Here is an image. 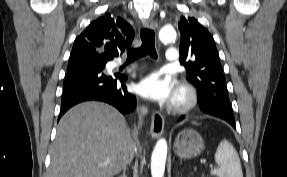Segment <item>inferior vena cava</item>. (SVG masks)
I'll list each match as a JSON object with an SVG mask.
<instances>
[{"label":"inferior vena cava","mask_w":287,"mask_h":177,"mask_svg":"<svg viewBox=\"0 0 287 177\" xmlns=\"http://www.w3.org/2000/svg\"><path fill=\"white\" fill-rule=\"evenodd\" d=\"M148 110L146 107H141L139 110V120L142 122V117H144L147 114Z\"/></svg>","instance_id":"602c4592"}]
</instances>
